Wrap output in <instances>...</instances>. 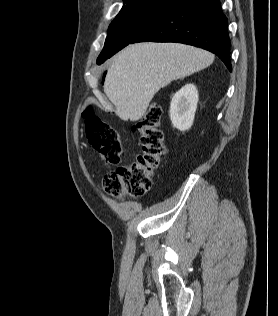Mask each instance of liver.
<instances>
[{"instance_id":"6515ba94","label":"liver","mask_w":278,"mask_h":316,"mask_svg":"<svg viewBox=\"0 0 278 316\" xmlns=\"http://www.w3.org/2000/svg\"><path fill=\"white\" fill-rule=\"evenodd\" d=\"M213 61L210 52L178 43L129 45L112 60L104 92L120 119L137 121L161 88L207 68Z\"/></svg>"}]
</instances>
